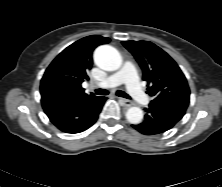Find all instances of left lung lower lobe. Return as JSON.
<instances>
[{"instance_id":"0a47b994","label":"left lung lower lobe","mask_w":222,"mask_h":187,"mask_svg":"<svg viewBox=\"0 0 222 187\" xmlns=\"http://www.w3.org/2000/svg\"><path fill=\"white\" fill-rule=\"evenodd\" d=\"M189 100L164 99L151 102L142 123L132 125L145 135H156L171 129L185 114Z\"/></svg>"}]
</instances>
